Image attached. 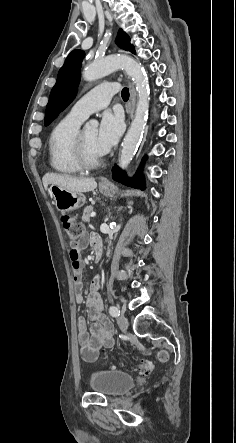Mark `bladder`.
Returning <instances> with one entry per match:
<instances>
[{"label":"bladder","mask_w":236,"mask_h":443,"mask_svg":"<svg viewBox=\"0 0 236 443\" xmlns=\"http://www.w3.org/2000/svg\"><path fill=\"white\" fill-rule=\"evenodd\" d=\"M135 383L134 378L119 370H100L91 374L88 385L94 392L107 396H119L129 391Z\"/></svg>","instance_id":"bladder-1"}]
</instances>
